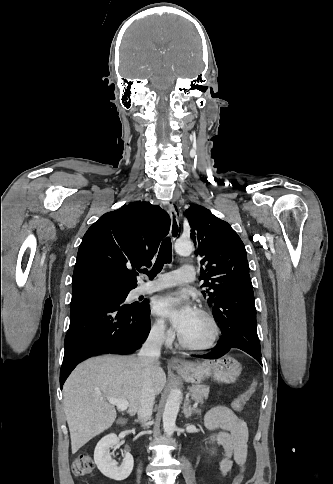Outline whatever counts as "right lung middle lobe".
<instances>
[{
    "label": "right lung middle lobe",
    "mask_w": 333,
    "mask_h": 484,
    "mask_svg": "<svg viewBox=\"0 0 333 484\" xmlns=\"http://www.w3.org/2000/svg\"><path fill=\"white\" fill-rule=\"evenodd\" d=\"M108 292L110 294H117L119 296V300L120 301H123V302H124L125 298L127 297L128 293H129V291H121V292H118V291H113V290H108ZM124 306H126V307H134V308H137V309H140V310H144L146 308V305L145 304L143 305V304H139V303L138 304L133 303V304H130V305H128V304L125 305L124 304Z\"/></svg>",
    "instance_id": "dd1d6c3e"
}]
</instances>
